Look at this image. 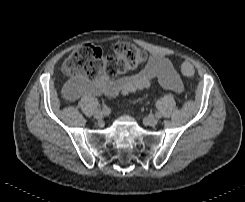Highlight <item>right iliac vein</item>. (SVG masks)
<instances>
[{"mask_svg":"<svg viewBox=\"0 0 245 202\" xmlns=\"http://www.w3.org/2000/svg\"><path fill=\"white\" fill-rule=\"evenodd\" d=\"M104 115H107L105 111L103 110H99L97 109L95 112H94V117L96 119H100L101 117H103Z\"/></svg>","mask_w":245,"mask_h":202,"instance_id":"obj_1","label":"right iliac vein"}]
</instances>
